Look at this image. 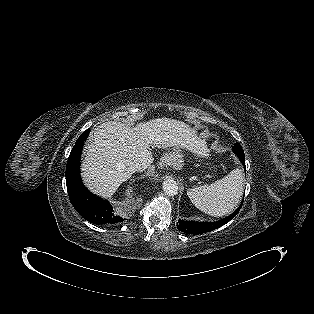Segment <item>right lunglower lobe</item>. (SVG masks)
<instances>
[{"label": "right lung lower lobe", "mask_w": 314, "mask_h": 314, "mask_svg": "<svg viewBox=\"0 0 314 314\" xmlns=\"http://www.w3.org/2000/svg\"><path fill=\"white\" fill-rule=\"evenodd\" d=\"M90 130H86L76 141L66 167V184L68 195L75 210L93 224H116L123 221L119 212L113 210L111 204L91 192L83 185L80 178V156L84 141Z\"/></svg>", "instance_id": "right-lung-lower-lobe-1"}]
</instances>
